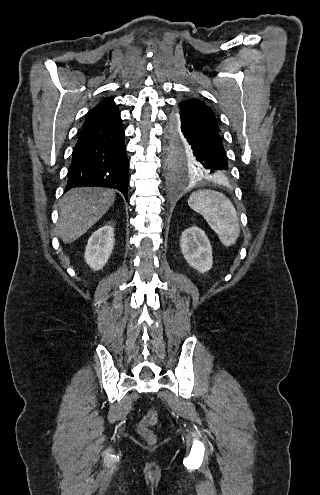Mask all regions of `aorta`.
Returning a JSON list of instances; mask_svg holds the SVG:
<instances>
[{
	"label": "aorta",
	"mask_w": 320,
	"mask_h": 495,
	"mask_svg": "<svg viewBox=\"0 0 320 495\" xmlns=\"http://www.w3.org/2000/svg\"><path fill=\"white\" fill-rule=\"evenodd\" d=\"M184 184H185V181H183V180L176 181V187H178V188H181L182 186H184Z\"/></svg>",
	"instance_id": "aorta-1"
}]
</instances>
